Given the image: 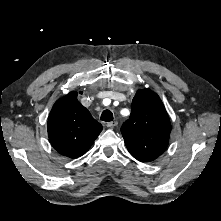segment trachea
Returning a JSON list of instances; mask_svg holds the SVG:
<instances>
[{
    "label": "trachea",
    "mask_w": 221,
    "mask_h": 221,
    "mask_svg": "<svg viewBox=\"0 0 221 221\" xmlns=\"http://www.w3.org/2000/svg\"><path fill=\"white\" fill-rule=\"evenodd\" d=\"M101 120L105 122H110L113 120V114L110 110H104L101 114Z\"/></svg>",
    "instance_id": "1"
}]
</instances>
